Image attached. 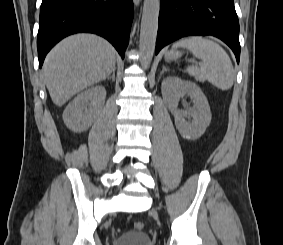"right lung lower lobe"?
Segmentation results:
<instances>
[{"mask_svg": "<svg viewBox=\"0 0 283 245\" xmlns=\"http://www.w3.org/2000/svg\"><path fill=\"white\" fill-rule=\"evenodd\" d=\"M132 17V0H42L37 38L39 67L57 42L78 32L106 38L124 57Z\"/></svg>", "mask_w": 283, "mask_h": 245, "instance_id": "right-lung-lower-lobe-1", "label": "right lung lower lobe"}]
</instances>
